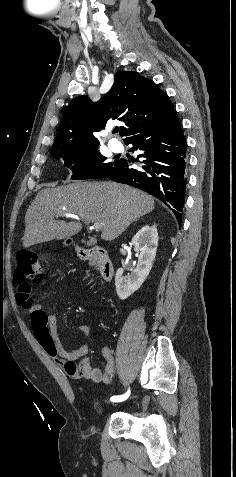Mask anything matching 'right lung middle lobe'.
Returning a JSON list of instances; mask_svg holds the SVG:
<instances>
[{
	"label": "right lung middle lobe",
	"instance_id": "1",
	"mask_svg": "<svg viewBox=\"0 0 236 477\" xmlns=\"http://www.w3.org/2000/svg\"><path fill=\"white\" fill-rule=\"evenodd\" d=\"M97 147L98 145H91L72 152L52 153V156L64 160L65 166L72 170L71 179L104 178L119 160L107 162V158L98 152Z\"/></svg>",
	"mask_w": 236,
	"mask_h": 477
}]
</instances>
